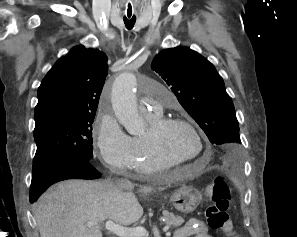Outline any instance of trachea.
Returning a JSON list of instances; mask_svg holds the SVG:
<instances>
[{
  "label": "trachea",
  "instance_id": "obj_1",
  "mask_svg": "<svg viewBox=\"0 0 297 237\" xmlns=\"http://www.w3.org/2000/svg\"><path fill=\"white\" fill-rule=\"evenodd\" d=\"M124 23L127 27V29H132L134 24H135V20H124Z\"/></svg>",
  "mask_w": 297,
  "mask_h": 237
}]
</instances>
